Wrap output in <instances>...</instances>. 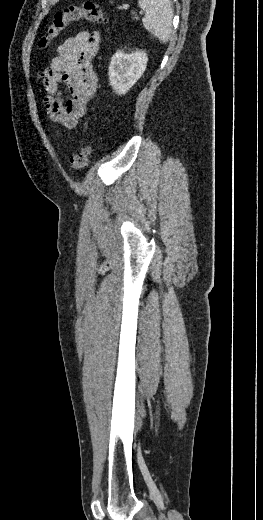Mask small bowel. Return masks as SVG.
I'll use <instances>...</instances> for the list:
<instances>
[{
    "instance_id": "1",
    "label": "small bowel",
    "mask_w": 263,
    "mask_h": 520,
    "mask_svg": "<svg viewBox=\"0 0 263 520\" xmlns=\"http://www.w3.org/2000/svg\"><path fill=\"white\" fill-rule=\"evenodd\" d=\"M98 31H83L67 39L57 50L49 66L40 74L47 92L43 99L48 118L67 129L77 127L97 89V75L92 60L99 50ZM65 84L70 97L60 89Z\"/></svg>"
}]
</instances>
